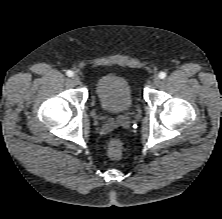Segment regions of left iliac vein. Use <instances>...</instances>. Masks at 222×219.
<instances>
[{"label":"left iliac vein","mask_w":222,"mask_h":219,"mask_svg":"<svg viewBox=\"0 0 222 219\" xmlns=\"http://www.w3.org/2000/svg\"><path fill=\"white\" fill-rule=\"evenodd\" d=\"M160 78L158 76H155L152 80L153 85L157 86L160 84Z\"/></svg>","instance_id":"4c4485c4"}]
</instances>
